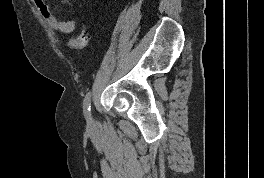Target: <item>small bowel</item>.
I'll use <instances>...</instances> for the list:
<instances>
[{"label":"small bowel","instance_id":"c3829d8e","mask_svg":"<svg viewBox=\"0 0 264 178\" xmlns=\"http://www.w3.org/2000/svg\"><path fill=\"white\" fill-rule=\"evenodd\" d=\"M33 2L45 22L54 31L67 35L71 34L75 30L77 24L76 18H72L70 20H61L52 12L45 0H33Z\"/></svg>","mask_w":264,"mask_h":178}]
</instances>
